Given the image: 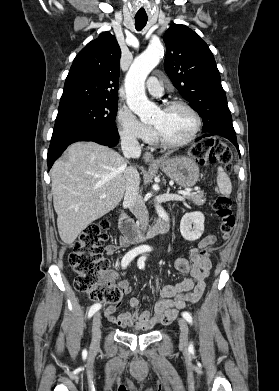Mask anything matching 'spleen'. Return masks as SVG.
<instances>
[{"instance_id": "spleen-1", "label": "spleen", "mask_w": 279, "mask_h": 391, "mask_svg": "<svg viewBox=\"0 0 279 391\" xmlns=\"http://www.w3.org/2000/svg\"><path fill=\"white\" fill-rule=\"evenodd\" d=\"M217 184L221 194L229 195L231 193L232 184L230 178L222 167H218Z\"/></svg>"}]
</instances>
